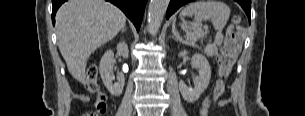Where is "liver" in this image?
Here are the masks:
<instances>
[{
    "label": "liver",
    "instance_id": "6515ba94",
    "mask_svg": "<svg viewBox=\"0 0 305 116\" xmlns=\"http://www.w3.org/2000/svg\"><path fill=\"white\" fill-rule=\"evenodd\" d=\"M126 16L104 0H68L57 11L58 47L68 71L85 83L90 55L124 28Z\"/></svg>",
    "mask_w": 305,
    "mask_h": 116
}]
</instances>
